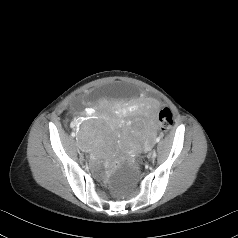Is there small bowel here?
Segmentation results:
<instances>
[{"mask_svg":"<svg viewBox=\"0 0 238 238\" xmlns=\"http://www.w3.org/2000/svg\"><path fill=\"white\" fill-rule=\"evenodd\" d=\"M144 110H145V115L148 120L149 129L152 130L153 119H154V115L157 110V104L152 101H147L144 105ZM81 122H82V119L78 118L71 123V127H77Z\"/></svg>","mask_w":238,"mask_h":238,"instance_id":"c3829d8e","label":"small bowel"}]
</instances>
